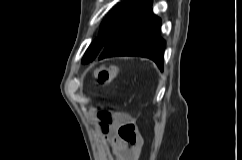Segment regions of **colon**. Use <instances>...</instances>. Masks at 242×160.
<instances>
[{"mask_svg": "<svg viewBox=\"0 0 242 160\" xmlns=\"http://www.w3.org/2000/svg\"><path fill=\"white\" fill-rule=\"evenodd\" d=\"M117 74H118L117 67H108L106 65H101L96 70L97 80L101 83L109 82L114 77H116ZM100 116L105 122L109 121L110 119V115L106 112H101ZM124 137L129 141L135 140V127L133 125H129L126 127L124 131Z\"/></svg>", "mask_w": 242, "mask_h": 160, "instance_id": "1", "label": "colon"}]
</instances>
